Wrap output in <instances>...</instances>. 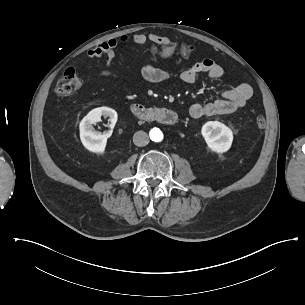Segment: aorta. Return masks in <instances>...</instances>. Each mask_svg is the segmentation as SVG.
<instances>
[{"instance_id": "aorta-1", "label": "aorta", "mask_w": 305, "mask_h": 305, "mask_svg": "<svg viewBox=\"0 0 305 305\" xmlns=\"http://www.w3.org/2000/svg\"><path fill=\"white\" fill-rule=\"evenodd\" d=\"M151 138L155 142H160L163 139V133L159 129L158 130H154L151 133Z\"/></svg>"}]
</instances>
